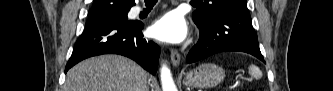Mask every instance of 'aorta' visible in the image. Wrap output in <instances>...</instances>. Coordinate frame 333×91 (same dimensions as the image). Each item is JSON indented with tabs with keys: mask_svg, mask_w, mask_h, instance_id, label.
Segmentation results:
<instances>
[{
	"mask_svg": "<svg viewBox=\"0 0 333 91\" xmlns=\"http://www.w3.org/2000/svg\"><path fill=\"white\" fill-rule=\"evenodd\" d=\"M161 82L163 91H177L171 72L166 65L161 68Z\"/></svg>",
	"mask_w": 333,
	"mask_h": 91,
	"instance_id": "1",
	"label": "aorta"
}]
</instances>
